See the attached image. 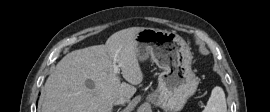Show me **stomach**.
Masks as SVG:
<instances>
[{
  "label": "stomach",
  "instance_id": "0dacf381",
  "mask_svg": "<svg viewBox=\"0 0 270 112\" xmlns=\"http://www.w3.org/2000/svg\"><path fill=\"white\" fill-rule=\"evenodd\" d=\"M135 41L138 60L144 62L150 57L163 70L157 90L147 99L165 112L180 111L198 86L191 69L190 47L175 32L154 28H144Z\"/></svg>",
  "mask_w": 270,
  "mask_h": 112
}]
</instances>
